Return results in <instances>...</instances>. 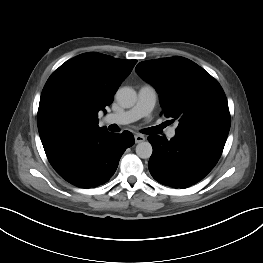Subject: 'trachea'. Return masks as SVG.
Listing matches in <instances>:
<instances>
[{"instance_id": "obj_1", "label": "trachea", "mask_w": 263, "mask_h": 263, "mask_svg": "<svg viewBox=\"0 0 263 263\" xmlns=\"http://www.w3.org/2000/svg\"><path fill=\"white\" fill-rule=\"evenodd\" d=\"M143 133H146V134H154V131H153L152 128H148V129L143 130Z\"/></svg>"}]
</instances>
